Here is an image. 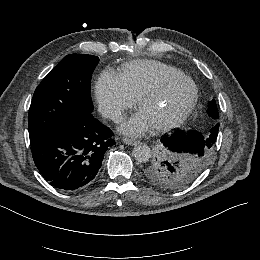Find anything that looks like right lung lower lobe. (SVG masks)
<instances>
[{"label":"right lung lower lobe","mask_w":260,"mask_h":260,"mask_svg":"<svg viewBox=\"0 0 260 260\" xmlns=\"http://www.w3.org/2000/svg\"><path fill=\"white\" fill-rule=\"evenodd\" d=\"M113 132L92 114L31 144L38 170L53 187L78 191L92 184L106 150L115 144Z\"/></svg>","instance_id":"1"}]
</instances>
